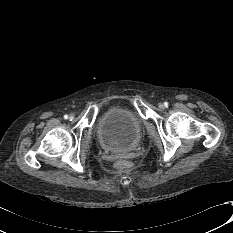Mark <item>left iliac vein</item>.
<instances>
[{"label": "left iliac vein", "mask_w": 233, "mask_h": 233, "mask_svg": "<svg viewBox=\"0 0 233 233\" xmlns=\"http://www.w3.org/2000/svg\"><path fill=\"white\" fill-rule=\"evenodd\" d=\"M158 107H159L160 109H164V108H165V105H164L163 103H159Z\"/></svg>", "instance_id": "4c4485c4"}]
</instances>
